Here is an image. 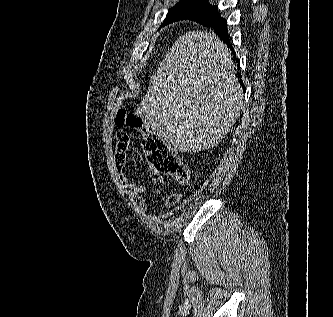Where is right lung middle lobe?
<instances>
[{"label": "right lung middle lobe", "mask_w": 333, "mask_h": 317, "mask_svg": "<svg viewBox=\"0 0 333 317\" xmlns=\"http://www.w3.org/2000/svg\"><path fill=\"white\" fill-rule=\"evenodd\" d=\"M217 10L218 7L208 4V0H182L169 10L163 25Z\"/></svg>", "instance_id": "dd1d6c3e"}]
</instances>
